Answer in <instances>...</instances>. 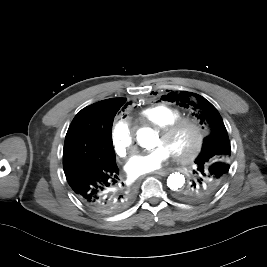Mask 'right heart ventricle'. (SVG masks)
<instances>
[{
  "mask_svg": "<svg viewBox=\"0 0 267 267\" xmlns=\"http://www.w3.org/2000/svg\"><path fill=\"white\" fill-rule=\"evenodd\" d=\"M183 116L182 110L166 104L147 107L139 113V120L160 128Z\"/></svg>",
  "mask_w": 267,
  "mask_h": 267,
  "instance_id": "e07e8e85",
  "label": "right heart ventricle"
}]
</instances>
